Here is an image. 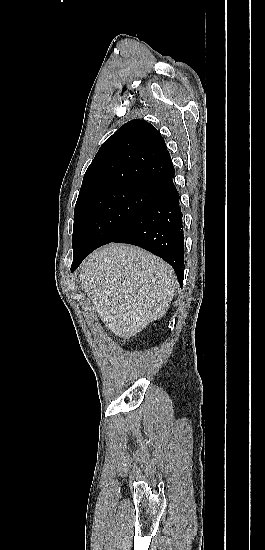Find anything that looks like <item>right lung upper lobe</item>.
<instances>
[{"mask_svg":"<svg viewBox=\"0 0 265 550\" xmlns=\"http://www.w3.org/2000/svg\"><path fill=\"white\" fill-rule=\"evenodd\" d=\"M173 171L160 133L150 123L135 119L100 147L84 175L77 202L122 187L160 186Z\"/></svg>","mask_w":265,"mask_h":550,"instance_id":"right-lung-upper-lobe-1","label":"right lung upper lobe"}]
</instances>
